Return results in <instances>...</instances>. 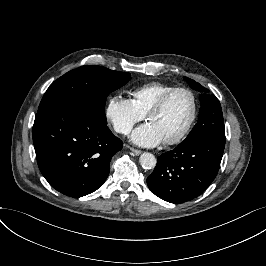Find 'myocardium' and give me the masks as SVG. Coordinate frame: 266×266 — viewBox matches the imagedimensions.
<instances>
[{
    "instance_id": "myocardium-1",
    "label": "myocardium",
    "mask_w": 266,
    "mask_h": 266,
    "mask_svg": "<svg viewBox=\"0 0 266 266\" xmlns=\"http://www.w3.org/2000/svg\"><path fill=\"white\" fill-rule=\"evenodd\" d=\"M179 91L186 92L191 97L192 104H193V111H192V115H191L189 122L182 129L179 135L174 139L164 140V144L170 145V146L180 144L187 137V135L189 134V132L191 131V129L193 128L196 122V119L198 116L199 105H198V99H197L195 92L191 88L186 87V86H175L167 90L166 92H164L158 98V100L148 109V111L145 114V118L148 119L150 115L161 112L164 109L170 97L174 93L179 92Z\"/></svg>"
}]
</instances>
